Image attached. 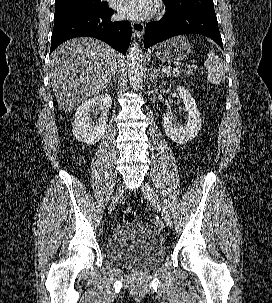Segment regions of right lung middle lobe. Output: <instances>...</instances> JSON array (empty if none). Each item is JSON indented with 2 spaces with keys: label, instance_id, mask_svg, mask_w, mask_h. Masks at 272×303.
<instances>
[{
  "label": "right lung middle lobe",
  "instance_id": "dd1d6c3e",
  "mask_svg": "<svg viewBox=\"0 0 272 303\" xmlns=\"http://www.w3.org/2000/svg\"><path fill=\"white\" fill-rule=\"evenodd\" d=\"M107 9L101 0H65L55 2L54 19L64 18L80 12H102Z\"/></svg>",
  "mask_w": 272,
  "mask_h": 303
}]
</instances>
